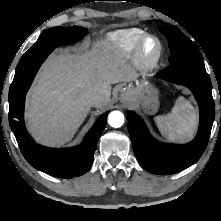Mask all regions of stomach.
Masks as SVG:
<instances>
[{
	"label": "stomach",
	"instance_id": "obj_1",
	"mask_svg": "<svg viewBox=\"0 0 221 221\" xmlns=\"http://www.w3.org/2000/svg\"><path fill=\"white\" fill-rule=\"evenodd\" d=\"M129 100L140 105L148 114H154L158 110V90L147 81L137 82L125 90Z\"/></svg>",
	"mask_w": 221,
	"mask_h": 221
}]
</instances>
